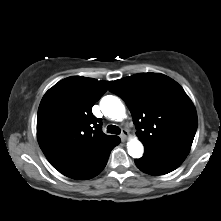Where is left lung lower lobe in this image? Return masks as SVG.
Wrapping results in <instances>:
<instances>
[{
    "label": "left lung lower lobe",
    "instance_id": "1",
    "mask_svg": "<svg viewBox=\"0 0 221 221\" xmlns=\"http://www.w3.org/2000/svg\"><path fill=\"white\" fill-rule=\"evenodd\" d=\"M189 151L190 149L185 147L145 150L142 158L135 160V164L147 174L163 175L179 167Z\"/></svg>",
    "mask_w": 221,
    "mask_h": 221
}]
</instances>
